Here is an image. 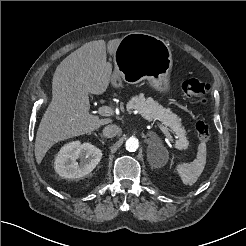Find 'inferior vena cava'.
Returning <instances> with one entry per match:
<instances>
[{
	"mask_svg": "<svg viewBox=\"0 0 246 246\" xmlns=\"http://www.w3.org/2000/svg\"><path fill=\"white\" fill-rule=\"evenodd\" d=\"M121 131V128L115 124L107 125L103 129V136L107 138H113L118 135Z\"/></svg>",
	"mask_w": 246,
	"mask_h": 246,
	"instance_id": "602c4592",
	"label": "inferior vena cava"
}]
</instances>
